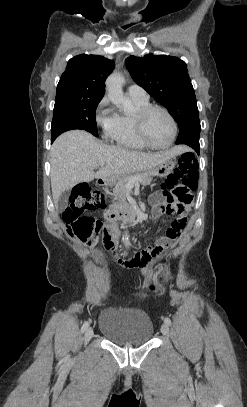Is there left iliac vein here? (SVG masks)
<instances>
[{
	"label": "left iliac vein",
	"mask_w": 247,
	"mask_h": 407,
	"mask_svg": "<svg viewBox=\"0 0 247 407\" xmlns=\"http://www.w3.org/2000/svg\"><path fill=\"white\" fill-rule=\"evenodd\" d=\"M161 333L166 337L169 336V325L167 323L161 325Z\"/></svg>",
	"instance_id": "obj_1"
}]
</instances>
